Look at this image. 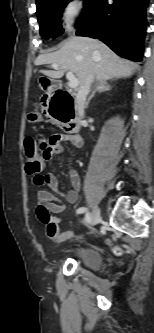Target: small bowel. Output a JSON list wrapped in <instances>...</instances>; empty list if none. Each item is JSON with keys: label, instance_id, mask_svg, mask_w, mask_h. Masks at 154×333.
I'll return each instance as SVG.
<instances>
[{"label": "small bowel", "instance_id": "obj_1", "mask_svg": "<svg viewBox=\"0 0 154 333\" xmlns=\"http://www.w3.org/2000/svg\"><path fill=\"white\" fill-rule=\"evenodd\" d=\"M69 142L74 147L79 148L82 146V138L77 134H55L50 137L47 142L42 141L39 146V154L41 160L49 161L55 155H61L64 153V143ZM69 178L71 189L65 193L59 191V183L57 177L48 173L45 175L36 174L33 177V184L37 187H47L48 189H40L38 191V206L37 216L39 220L47 224L51 221V213H60L64 206L61 201L53 194V192L60 194L68 203H75L78 199L79 191L81 189V179L78 173L70 169ZM73 236V232L70 230L58 231L55 238H51L56 244L67 241Z\"/></svg>", "mask_w": 154, "mask_h": 333}]
</instances>
